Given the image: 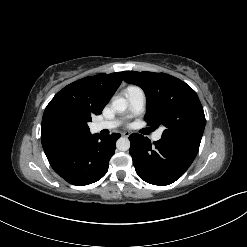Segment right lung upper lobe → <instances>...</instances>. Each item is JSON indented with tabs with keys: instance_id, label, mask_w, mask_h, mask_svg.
<instances>
[{
	"instance_id": "obj_1",
	"label": "right lung upper lobe",
	"mask_w": 247,
	"mask_h": 247,
	"mask_svg": "<svg viewBox=\"0 0 247 247\" xmlns=\"http://www.w3.org/2000/svg\"><path fill=\"white\" fill-rule=\"evenodd\" d=\"M122 82V73L98 74L75 81L47 105L41 126L45 154L77 145L91 136L87 122L102 112Z\"/></svg>"
}]
</instances>
